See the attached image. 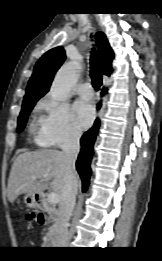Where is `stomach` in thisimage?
I'll return each mask as SVG.
<instances>
[{"instance_id": "obj_1", "label": "stomach", "mask_w": 162, "mask_h": 261, "mask_svg": "<svg viewBox=\"0 0 162 261\" xmlns=\"http://www.w3.org/2000/svg\"><path fill=\"white\" fill-rule=\"evenodd\" d=\"M24 203L29 208H35L38 204L34 195L26 194L24 197Z\"/></svg>"}]
</instances>
